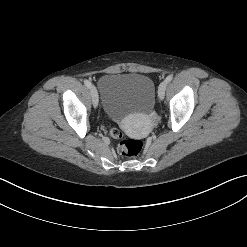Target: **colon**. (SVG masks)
Here are the masks:
<instances>
[{
    "label": "colon",
    "mask_w": 247,
    "mask_h": 247,
    "mask_svg": "<svg viewBox=\"0 0 247 247\" xmlns=\"http://www.w3.org/2000/svg\"><path fill=\"white\" fill-rule=\"evenodd\" d=\"M110 135L118 141L117 150L123 156L135 157L143 149V143L140 140L125 138L117 128H110Z\"/></svg>",
    "instance_id": "obj_1"
}]
</instances>
